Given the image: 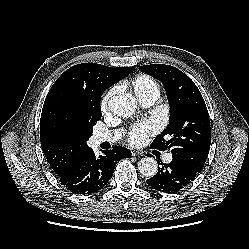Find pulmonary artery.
Wrapping results in <instances>:
<instances>
[{
    "mask_svg": "<svg viewBox=\"0 0 249 249\" xmlns=\"http://www.w3.org/2000/svg\"><path fill=\"white\" fill-rule=\"evenodd\" d=\"M157 98H158L157 95H151V96L145 97L144 99L140 101L145 106H149L153 104L157 100ZM121 134H122V131L120 130L110 131L106 133H98L94 136V142L96 144H100L103 142H114L121 137ZM163 159L166 163H170L172 161V155L166 154Z\"/></svg>",
    "mask_w": 249,
    "mask_h": 249,
    "instance_id": "1",
    "label": "pulmonary artery"
}]
</instances>
